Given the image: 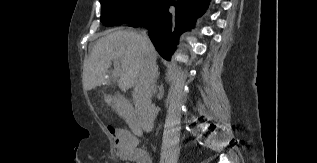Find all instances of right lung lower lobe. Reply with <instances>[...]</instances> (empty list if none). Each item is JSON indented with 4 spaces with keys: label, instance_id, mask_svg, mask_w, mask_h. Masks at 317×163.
Here are the masks:
<instances>
[{
    "label": "right lung lower lobe",
    "instance_id": "right-lung-lower-lobe-1",
    "mask_svg": "<svg viewBox=\"0 0 317 163\" xmlns=\"http://www.w3.org/2000/svg\"><path fill=\"white\" fill-rule=\"evenodd\" d=\"M208 3L209 0H161L149 15L131 22L129 26H146L159 54L170 60L179 36L194 26L196 19L207 9ZM170 6L175 7L174 12L169 11Z\"/></svg>",
    "mask_w": 317,
    "mask_h": 163
}]
</instances>
